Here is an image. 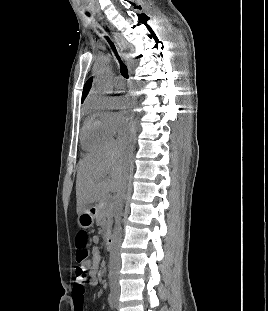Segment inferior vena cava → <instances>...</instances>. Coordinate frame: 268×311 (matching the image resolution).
<instances>
[{"label": "inferior vena cava", "mask_w": 268, "mask_h": 311, "mask_svg": "<svg viewBox=\"0 0 268 311\" xmlns=\"http://www.w3.org/2000/svg\"><path fill=\"white\" fill-rule=\"evenodd\" d=\"M121 149H123V152H128V147H126V144H123L121 141ZM130 150V149H129ZM130 164L127 161V170H129ZM127 188V183L125 184L124 188H122L118 193H117V199L119 202L120 208L122 207L123 199L125 197V192ZM122 228H121V217L120 213L118 212L115 216V227L113 230V242L114 246L113 249L110 253V284L111 286H115L118 288V274H119V267H120V256L118 249L121 245L122 241Z\"/></svg>", "instance_id": "inferior-vena-cava-1"}]
</instances>
